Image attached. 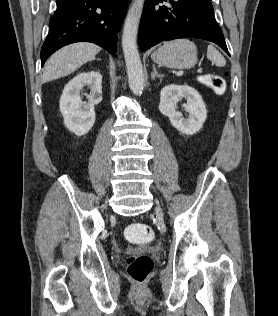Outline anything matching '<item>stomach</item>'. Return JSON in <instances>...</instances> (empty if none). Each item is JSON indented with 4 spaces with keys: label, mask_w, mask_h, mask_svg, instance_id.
<instances>
[{
    "label": "stomach",
    "mask_w": 278,
    "mask_h": 316,
    "mask_svg": "<svg viewBox=\"0 0 278 316\" xmlns=\"http://www.w3.org/2000/svg\"><path fill=\"white\" fill-rule=\"evenodd\" d=\"M151 58L161 66L189 69L197 63V48L187 39L174 40L164 43Z\"/></svg>",
    "instance_id": "obj_1"
}]
</instances>
